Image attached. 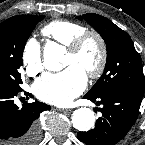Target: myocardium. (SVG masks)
Listing matches in <instances>:
<instances>
[{"label":"myocardium","mask_w":145,"mask_h":145,"mask_svg":"<svg viewBox=\"0 0 145 145\" xmlns=\"http://www.w3.org/2000/svg\"><path fill=\"white\" fill-rule=\"evenodd\" d=\"M89 39H94L99 46V62L94 70L87 72L86 76L90 79H98L104 73L108 62L107 44L100 33L94 30H86L75 37L67 46V49L69 53L77 54Z\"/></svg>","instance_id":"myocardium-1"}]
</instances>
